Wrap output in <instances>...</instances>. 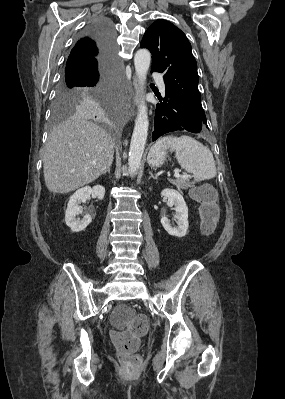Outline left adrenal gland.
<instances>
[{
  "label": "left adrenal gland",
  "mask_w": 285,
  "mask_h": 399,
  "mask_svg": "<svg viewBox=\"0 0 285 399\" xmlns=\"http://www.w3.org/2000/svg\"><path fill=\"white\" fill-rule=\"evenodd\" d=\"M149 174H150V177H149V179H151V178H153V179H157V177H156V176H154L152 172H149Z\"/></svg>",
  "instance_id": "1"
}]
</instances>
